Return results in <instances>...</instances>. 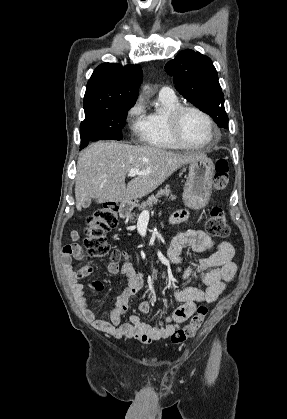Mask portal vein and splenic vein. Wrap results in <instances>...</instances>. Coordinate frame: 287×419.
Listing matches in <instances>:
<instances>
[{
  "label": "portal vein and splenic vein",
  "mask_w": 287,
  "mask_h": 419,
  "mask_svg": "<svg viewBox=\"0 0 287 419\" xmlns=\"http://www.w3.org/2000/svg\"><path fill=\"white\" fill-rule=\"evenodd\" d=\"M147 174H149V171H139L138 169H136V168H132L130 171H129V173H128V176L129 177H134V176H136V175H147ZM144 212H148L147 210H145Z\"/></svg>",
  "instance_id": "obj_1"
}]
</instances>
